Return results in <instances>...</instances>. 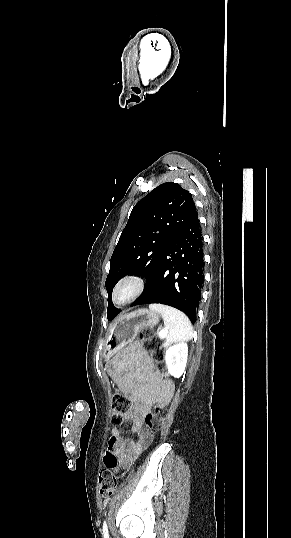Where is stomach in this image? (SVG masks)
<instances>
[{"mask_svg": "<svg viewBox=\"0 0 291 538\" xmlns=\"http://www.w3.org/2000/svg\"><path fill=\"white\" fill-rule=\"evenodd\" d=\"M159 322V315L155 311L139 309L120 317L111 326L107 335L104 358L107 363L112 354H118L122 348L133 341L141 328L154 327Z\"/></svg>", "mask_w": 291, "mask_h": 538, "instance_id": "1", "label": "stomach"}]
</instances>
